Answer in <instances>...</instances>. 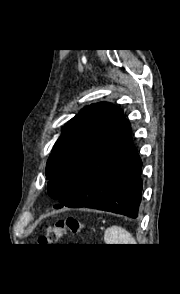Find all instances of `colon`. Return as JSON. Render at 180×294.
I'll use <instances>...</instances> for the list:
<instances>
[{
  "label": "colon",
  "instance_id": "5ec220e1",
  "mask_svg": "<svg viewBox=\"0 0 180 294\" xmlns=\"http://www.w3.org/2000/svg\"><path fill=\"white\" fill-rule=\"evenodd\" d=\"M83 228V224L72 217L65 218L49 226L40 242L46 245H56L65 234H77Z\"/></svg>",
  "mask_w": 180,
  "mask_h": 294
}]
</instances>
